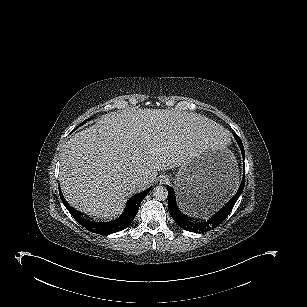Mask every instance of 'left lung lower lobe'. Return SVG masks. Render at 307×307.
I'll list each match as a JSON object with an SVG mask.
<instances>
[{
  "label": "left lung lower lobe",
  "instance_id": "0a47b994",
  "mask_svg": "<svg viewBox=\"0 0 307 307\" xmlns=\"http://www.w3.org/2000/svg\"><path fill=\"white\" fill-rule=\"evenodd\" d=\"M236 134L234 133V137L236 138ZM239 143L243 159L245 156L244 148L241 139H236ZM245 185V174L243 176V180L241 183V186L236 193V195L223 207L217 212L214 216H212L209 220L204 222H196L193 221L192 218L185 216L183 213L180 212V210L177 207L176 199L174 191L171 189V187L168 186V209L171 217L174 219V221L184 230L195 232V233H204L207 231H210L217 227L219 224H221L227 216L230 214L234 204L238 200L239 196L241 195Z\"/></svg>",
  "mask_w": 307,
  "mask_h": 307
}]
</instances>
